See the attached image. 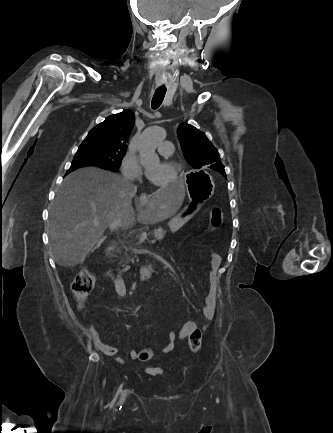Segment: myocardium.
<instances>
[{
	"label": "myocardium",
	"instance_id": "obj_1",
	"mask_svg": "<svg viewBox=\"0 0 333 433\" xmlns=\"http://www.w3.org/2000/svg\"><path fill=\"white\" fill-rule=\"evenodd\" d=\"M164 164H166L172 171V175L170 179L164 183H154L159 188H168L173 186L177 182V174H178V165L171 160H164Z\"/></svg>",
	"mask_w": 333,
	"mask_h": 433
}]
</instances>
